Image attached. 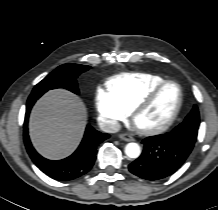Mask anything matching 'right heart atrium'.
I'll list each match as a JSON object with an SVG mask.
<instances>
[{"mask_svg": "<svg viewBox=\"0 0 218 210\" xmlns=\"http://www.w3.org/2000/svg\"><path fill=\"white\" fill-rule=\"evenodd\" d=\"M95 105L102 123L109 130H116L129 114L108 90L102 88L96 92Z\"/></svg>", "mask_w": 218, "mask_h": 210, "instance_id": "obj_1", "label": "right heart atrium"}]
</instances>
